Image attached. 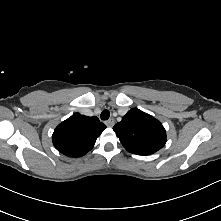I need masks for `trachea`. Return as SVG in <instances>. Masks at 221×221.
Segmentation results:
<instances>
[{
  "label": "trachea",
  "instance_id": "1",
  "mask_svg": "<svg viewBox=\"0 0 221 221\" xmlns=\"http://www.w3.org/2000/svg\"><path fill=\"white\" fill-rule=\"evenodd\" d=\"M109 117H110V112L108 110L102 111V113L100 115V118L102 120H107V119H109Z\"/></svg>",
  "mask_w": 221,
  "mask_h": 221
}]
</instances>
